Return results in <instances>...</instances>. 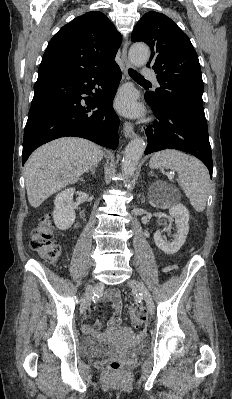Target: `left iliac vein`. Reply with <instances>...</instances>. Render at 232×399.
Returning a JSON list of instances; mask_svg holds the SVG:
<instances>
[{"instance_id": "left-iliac-vein-1", "label": "left iliac vein", "mask_w": 232, "mask_h": 399, "mask_svg": "<svg viewBox=\"0 0 232 399\" xmlns=\"http://www.w3.org/2000/svg\"><path fill=\"white\" fill-rule=\"evenodd\" d=\"M128 285L131 287V289H133L134 292L138 291L143 293L145 303H147V310L152 312L154 310V300H152L150 291H148L144 283H139V281H134L133 278H130Z\"/></svg>"}]
</instances>
